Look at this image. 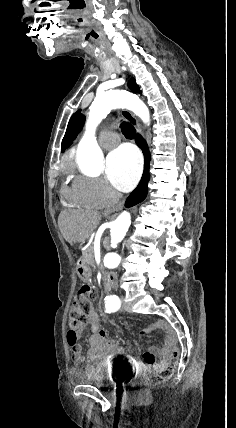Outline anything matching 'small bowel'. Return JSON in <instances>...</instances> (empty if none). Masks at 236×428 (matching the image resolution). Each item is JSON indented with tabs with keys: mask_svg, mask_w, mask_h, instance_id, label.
<instances>
[{
	"mask_svg": "<svg viewBox=\"0 0 236 428\" xmlns=\"http://www.w3.org/2000/svg\"><path fill=\"white\" fill-rule=\"evenodd\" d=\"M86 325H89L91 328V336L89 338L90 345L86 356L89 361L111 360L115 357H125L127 363L138 370L143 368H156L165 362L168 354L166 345L152 347L149 351L144 353L143 361H139L134 356L128 355L117 340L108 337L106 330L100 326L98 315L92 308H89L85 322L77 328V338ZM158 327L166 332L168 341H170L173 337V331L170 326L166 322L161 321ZM71 348L74 362H82L84 357L80 346L76 343L74 346H71Z\"/></svg>",
	"mask_w": 236,
	"mask_h": 428,
	"instance_id": "c3829d8e",
	"label": "small bowel"
}]
</instances>
